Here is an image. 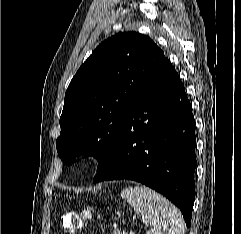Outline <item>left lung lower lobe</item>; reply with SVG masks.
Listing matches in <instances>:
<instances>
[{
    "label": "left lung lower lobe",
    "mask_w": 241,
    "mask_h": 234,
    "mask_svg": "<svg viewBox=\"0 0 241 234\" xmlns=\"http://www.w3.org/2000/svg\"><path fill=\"white\" fill-rule=\"evenodd\" d=\"M191 104L164 57L131 105L115 146L93 182L130 179L166 196L190 227L196 137Z\"/></svg>",
    "instance_id": "obj_1"
}]
</instances>
